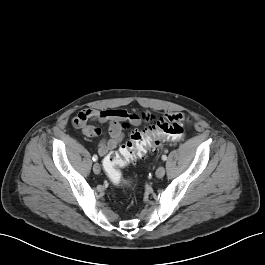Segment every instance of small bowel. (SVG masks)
I'll return each instance as SVG.
<instances>
[{
	"label": "small bowel",
	"mask_w": 265,
	"mask_h": 265,
	"mask_svg": "<svg viewBox=\"0 0 265 265\" xmlns=\"http://www.w3.org/2000/svg\"><path fill=\"white\" fill-rule=\"evenodd\" d=\"M151 115L146 113H128L121 109H83L72 119V125L82 131L83 135L89 138L101 135V129L89 125V121H96L100 124L108 125L107 138L100 141L97 152L104 157L111 150L117 148L125 136V130L138 126L142 121H149ZM179 118L184 120V116L180 113H171L168 119Z\"/></svg>",
	"instance_id": "1"
}]
</instances>
